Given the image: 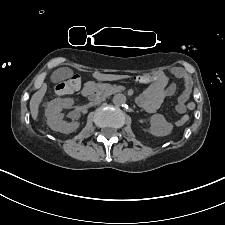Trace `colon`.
<instances>
[{
	"instance_id": "colon-1",
	"label": "colon",
	"mask_w": 225,
	"mask_h": 225,
	"mask_svg": "<svg viewBox=\"0 0 225 225\" xmlns=\"http://www.w3.org/2000/svg\"><path fill=\"white\" fill-rule=\"evenodd\" d=\"M136 80L139 83L148 84V83L154 82L155 77L151 74H143V75L137 76ZM80 84H81L80 77L75 75L66 81L60 82L56 86V91L60 95H67V94H70L73 91L77 90L79 88ZM194 107H195V104L193 102H188L186 104V109H188V110H192ZM187 121H188V119L182 118L179 123L180 126L187 123Z\"/></svg>"
}]
</instances>
